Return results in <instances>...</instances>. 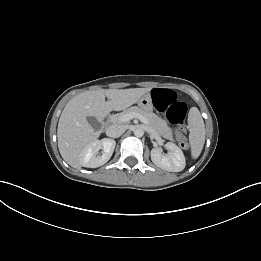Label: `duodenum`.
<instances>
[{
  "label": "duodenum",
  "instance_id": "1",
  "mask_svg": "<svg viewBox=\"0 0 261 261\" xmlns=\"http://www.w3.org/2000/svg\"><path fill=\"white\" fill-rule=\"evenodd\" d=\"M103 125H106V121L103 122Z\"/></svg>",
  "mask_w": 261,
  "mask_h": 261
}]
</instances>
